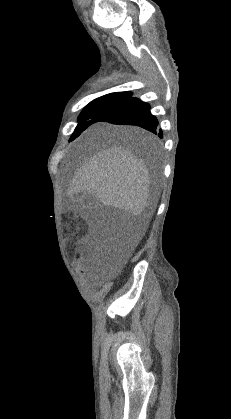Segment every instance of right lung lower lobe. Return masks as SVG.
Segmentation results:
<instances>
[{
	"label": "right lung lower lobe",
	"instance_id": "1",
	"mask_svg": "<svg viewBox=\"0 0 231 419\" xmlns=\"http://www.w3.org/2000/svg\"><path fill=\"white\" fill-rule=\"evenodd\" d=\"M99 121L137 125L154 134H158L160 138L163 137L162 130H158V120L150 112L149 104L134 97L129 98L98 117L96 122Z\"/></svg>",
	"mask_w": 231,
	"mask_h": 419
}]
</instances>
